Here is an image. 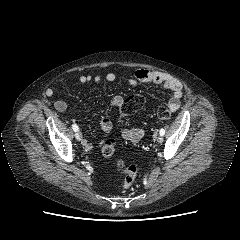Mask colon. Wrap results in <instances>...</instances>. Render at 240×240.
<instances>
[{
	"mask_svg": "<svg viewBox=\"0 0 240 240\" xmlns=\"http://www.w3.org/2000/svg\"><path fill=\"white\" fill-rule=\"evenodd\" d=\"M145 103L144 97L139 93H133L124 100L121 108L123 115H129L141 109ZM171 111L166 107H160L157 111V116L162 121H167L171 118ZM115 153V140L110 138L105 141L102 154L106 158H111ZM117 169L123 176L122 187L128 189L134 183L137 176V169L133 165H125L124 162H117Z\"/></svg>",
	"mask_w": 240,
	"mask_h": 240,
	"instance_id": "1",
	"label": "colon"
}]
</instances>
